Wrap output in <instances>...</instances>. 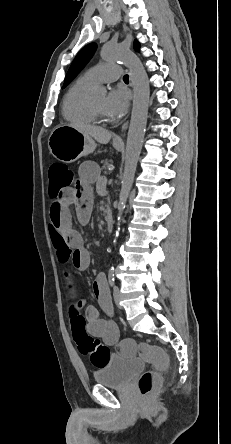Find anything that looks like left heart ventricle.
Instances as JSON below:
<instances>
[{
  "label": "left heart ventricle",
  "mask_w": 231,
  "mask_h": 444,
  "mask_svg": "<svg viewBox=\"0 0 231 444\" xmlns=\"http://www.w3.org/2000/svg\"><path fill=\"white\" fill-rule=\"evenodd\" d=\"M105 95L96 96L92 99L95 107L98 109V111L103 114L104 116H108L105 112Z\"/></svg>",
  "instance_id": "b2bd125f"
}]
</instances>
